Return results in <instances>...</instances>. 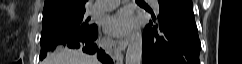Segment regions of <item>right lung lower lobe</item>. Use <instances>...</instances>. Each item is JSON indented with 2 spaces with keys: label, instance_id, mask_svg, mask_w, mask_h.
Wrapping results in <instances>:
<instances>
[{
  "label": "right lung lower lobe",
  "instance_id": "obj_1",
  "mask_svg": "<svg viewBox=\"0 0 242 64\" xmlns=\"http://www.w3.org/2000/svg\"><path fill=\"white\" fill-rule=\"evenodd\" d=\"M97 36L98 29L87 36L79 37L62 44L54 45L43 53H40V60H43L46 57L47 52L50 50H54L58 47H68L72 49H81L83 52L91 55L97 54L98 60H100L103 64H112L113 60L104 52V50H102V48H99L95 43Z\"/></svg>",
  "mask_w": 242,
  "mask_h": 64
}]
</instances>
